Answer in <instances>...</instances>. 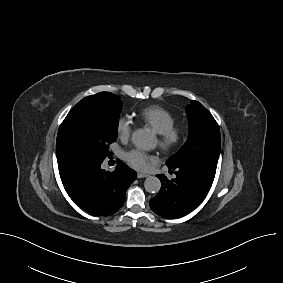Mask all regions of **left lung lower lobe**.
Wrapping results in <instances>:
<instances>
[{
	"label": "left lung lower lobe",
	"mask_w": 283,
	"mask_h": 283,
	"mask_svg": "<svg viewBox=\"0 0 283 283\" xmlns=\"http://www.w3.org/2000/svg\"><path fill=\"white\" fill-rule=\"evenodd\" d=\"M168 168L177 170L176 178L168 180L163 174L157 175L161 189L150 200V207L156 214L173 219L193 211L204 200L213 181L195 169Z\"/></svg>",
	"instance_id": "obj_1"
}]
</instances>
